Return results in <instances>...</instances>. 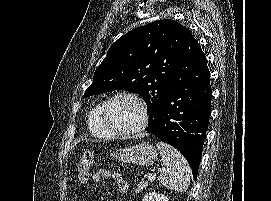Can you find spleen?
Listing matches in <instances>:
<instances>
[{
  "label": "spleen",
  "mask_w": 271,
  "mask_h": 201,
  "mask_svg": "<svg viewBox=\"0 0 271 201\" xmlns=\"http://www.w3.org/2000/svg\"><path fill=\"white\" fill-rule=\"evenodd\" d=\"M167 171L159 176V182L174 191L186 192L190 183V167L184 156L169 144H156Z\"/></svg>",
  "instance_id": "1"
}]
</instances>
